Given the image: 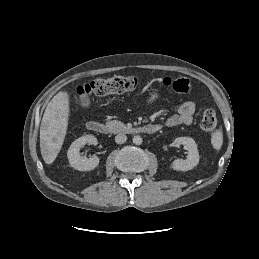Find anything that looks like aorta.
Instances as JSON below:
<instances>
[{
	"label": "aorta",
	"mask_w": 259,
	"mask_h": 259,
	"mask_svg": "<svg viewBox=\"0 0 259 259\" xmlns=\"http://www.w3.org/2000/svg\"><path fill=\"white\" fill-rule=\"evenodd\" d=\"M142 142H143V140H142L141 136L136 135V136L133 137V143L135 145H141Z\"/></svg>",
	"instance_id": "762f6f07"
}]
</instances>
